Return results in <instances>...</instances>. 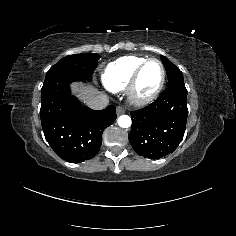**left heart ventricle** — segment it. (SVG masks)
Masks as SVG:
<instances>
[{
	"mask_svg": "<svg viewBox=\"0 0 236 236\" xmlns=\"http://www.w3.org/2000/svg\"><path fill=\"white\" fill-rule=\"evenodd\" d=\"M162 68L157 62H150L142 71L137 92L140 96H148L154 92L161 81Z\"/></svg>",
	"mask_w": 236,
	"mask_h": 236,
	"instance_id": "b2bd125f",
	"label": "left heart ventricle"
}]
</instances>
